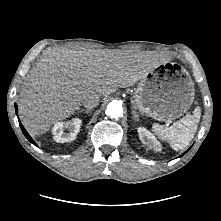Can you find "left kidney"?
I'll return each instance as SVG.
<instances>
[{
	"mask_svg": "<svg viewBox=\"0 0 221 221\" xmlns=\"http://www.w3.org/2000/svg\"><path fill=\"white\" fill-rule=\"evenodd\" d=\"M137 131L143 144L148 145L156 151H161V144L149 130L144 127H139Z\"/></svg>",
	"mask_w": 221,
	"mask_h": 221,
	"instance_id": "left-kidney-1",
	"label": "left kidney"
}]
</instances>
